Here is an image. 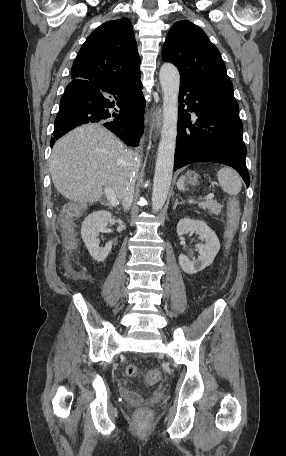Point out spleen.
I'll return each instance as SVG.
<instances>
[{
	"label": "spleen",
	"mask_w": 286,
	"mask_h": 456,
	"mask_svg": "<svg viewBox=\"0 0 286 456\" xmlns=\"http://www.w3.org/2000/svg\"><path fill=\"white\" fill-rule=\"evenodd\" d=\"M219 184L222 190L229 195H237L241 191L242 181L238 173L229 167H223L217 173ZM179 190H184V177L177 182Z\"/></svg>",
	"instance_id": "spleen-1"
}]
</instances>
